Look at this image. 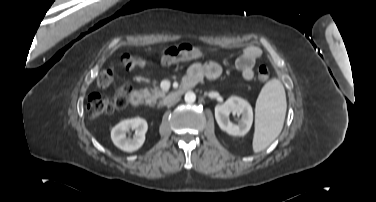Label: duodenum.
I'll return each mask as SVG.
<instances>
[{"mask_svg":"<svg viewBox=\"0 0 376 202\" xmlns=\"http://www.w3.org/2000/svg\"><path fill=\"white\" fill-rule=\"evenodd\" d=\"M191 87L190 84L184 83L178 90L174 92L175 98H179ZM129 102L132 106L138 107L143 103V94L140 91L134 90L129 96Z\"/></svg>","mask_w":376,"mask_h":202,"instance_id":"410a0bca","label":"duodenum"}]
</instances>
